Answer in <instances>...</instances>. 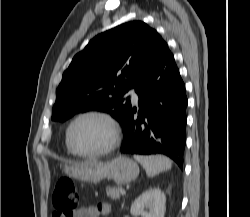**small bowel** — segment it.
Returning <instances> with one entry per match:
<instances>
[{
  "instance_id": "c3829d8e",
  "label": "small bowel",
  "mask_w": 250,
  "mask_h": 217,
  "mask_svg": "<svg viewBox=\"0 0 250 217\" xmlns=\"http://www.w3.org/2000/svg\"><path fill=\"white\" fill-rule=\"evenodd\" d=\"M111 204L99 203L97 205L83 206L75 210L72 217H99L107 216L111 212Z\"/></svg>"
}]
</instances>
